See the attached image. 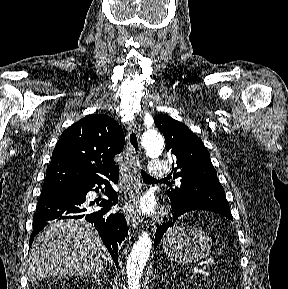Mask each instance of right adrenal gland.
Listing matches in <instances>:
<instances>
[{
  "instance_id": "1",
  "label": "right adrenal gland",
  "mask_w": 288,
  "mask_h": 289,
  "mask_svg": "<svg viewBox=\"0 0 288 289\" xmlns=\"http://www.w3.org/2000/svg\"><path fill=\"white\" fill-rule=\"evenodd\" d=\"M101 275H102V271H99L92 276L95 279V281L98 283V285L100 286H101Z\"/></svg>"
}]
</instances>
